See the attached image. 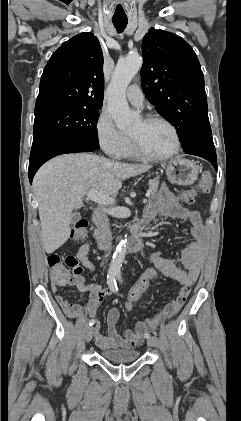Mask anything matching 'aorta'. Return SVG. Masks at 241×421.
I'll use <instances>...</instances> for the list:
<instances>
[{"mask_svg": "<svg viewBox=\"0 0 241 421\" xmlns=\"http://www.w3.org/2000/svg\"><path fill=\"white\" fill-rule=\"evenodd\" d=\"M142 62L139 55L128 56L120 60L108 87V110L116 126L121 130L129 129L139 119V116L129 109L125 93L132 78L141 68ZM127 248V239L122 240L113 254L112 266L121 267Z\"/></svg>", "mask_w": 241, "mask_h": 421, "instance_id": "762f6f07", "label": "aorta"}]
</instances>
